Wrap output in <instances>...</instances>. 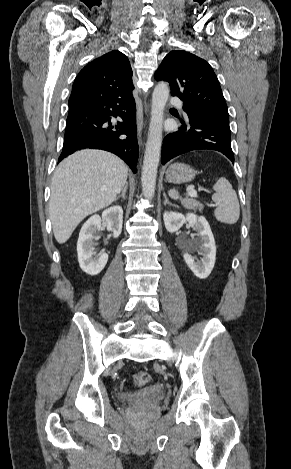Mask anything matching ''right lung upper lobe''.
<instances>
[{
    "instance_id": "obj_1",
    "label": "right lung upper lobe",
    "mask_w": 291,
    "mask_h": 469,
    "mask_svg": "<svg viewBox=\"0 0 291 469\" xmlns=\"http://www.w3.org/2000/svg\"><path fill=\"white\" fill-rule=\"evenodd\" d=\"M132 74L128 58L118 50L91 61L73 83L69 108L110 96L133 97Z\"/></svg>"
}]
</instances>
